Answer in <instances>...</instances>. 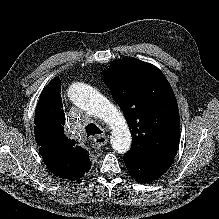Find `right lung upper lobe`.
Listing matches in <instances>:
<instances>
[{"instance_id": "right-lung-upper-lobe-1", "label": "right lung upper lobe", "mask_w": 219, "mask_h": 219, "mask_svg": "<svg viewBox=\"0 0 219 219\" xmlns=\"http://www.w3.org/2000/svg\"><path fill=\"white\" fill-rule=\"evenodd\" d=\"M61 82L54 78L43 90L35 109L34 133L48 170L61 178L79 179L91 168L88 153L64 134Z\"/></svg>"}]
</instances>
